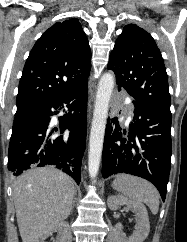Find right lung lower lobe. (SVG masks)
<instances>
[{"instance_id": "right-lung-lower-lobe-1", "label": "right lung lower lobe", "mask_w": 187, "mask_h": 242, "mask_svg": "<svg viewBox=\"0 0 187 242\" xmlns=\"http://www.w3.org/2000/svg\"><path fill=\"white\" fill-rule=\"evenodd\" d=\"M88 82L64 93L17 108L8 151V170L18 176L33 167L55 165L77 184L87 135ZM56 110V111H54ZM59 117L61 135H52L50 116ZM69 130L68 133H64ZM57 131V129H55Z\"/></svg>"}]
</instances>
